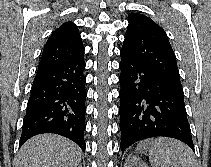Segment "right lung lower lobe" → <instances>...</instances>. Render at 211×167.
<instances>
[{
    "label": "right lung lower lobe",
    "instance_id": "1",
    "mask_svg": "<svg viewBox=\"0 0 211 167\" xmlns=\"http://www.w3.org/2000/svg\"><path fill=\"white\" fill-rule=\"evenodd\" d=\"M84 69L82 56L37 71L23 120L20 146L35 135L55 133L69 138L85 150L87 92Z\"/></svg>",
    "mask_w": 211,
    "mask_h": 167
}]
</instances>
